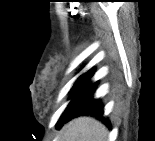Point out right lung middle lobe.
Wrapping results in <instances>:
<instances>
[{
  "label": "right lung middle lobe",
  "mask_w": 155,
  "mask_h": 141,
  "mask_svg": "<svg viewBox=\"0 0 155 141\" xmlns=\"http://www.w3.org/2000/svg\"><path fill=\"white\" fill-rule=\"evenodd\" d=\"M92 73L88 72L83 74L82 76L79 77V79L75 82L73 88H72V95L71 97H73L92 77ZM64 114V113H63ZM63 118V115L61 116L59 122L61 121V119Z\"/></svg>",
  "instance_id": "1"
}]
</instances>
